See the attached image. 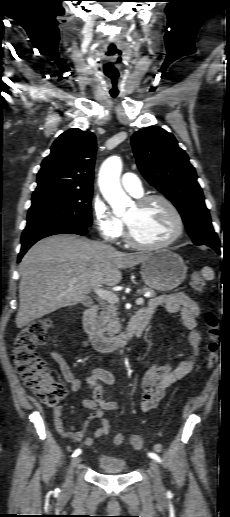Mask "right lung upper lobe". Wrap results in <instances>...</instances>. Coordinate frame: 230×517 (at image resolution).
Wrapping results in <instances>:
<instances>
[{"label": "right lung upper lobe", "mask_w": 230, "mask_h": 517, "mask_svg": "<svg viewBox=\"0 0 230 517\" xmlns=\"http://www.w3.org/2000/svg\"><path fill=\"white\" fill-rule=\"evenodd\" d=\"M96 138L89 131L70 129L53 143L38 172L33 198L55 193L93 190Z\"/></svg>", "instance_id": "obj_1"}]
</instances>
